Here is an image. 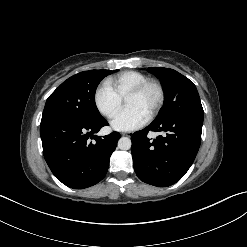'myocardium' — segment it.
<instances>
[{"instance_id": "obj_1", "label": "myocardium", "mask_w": 247, "mask_h": 247, "mask_svg": "<svg viewBox=\"0 0 247 247\" xmlns=\"http://www.w3.org/2000/svg\"><path fill=\"white\" fill-rule=\"evenodd\" d=\"M149 87H154L157 90V93H158L157 101H156L155 105L153 106L152 110L150 111V113L148 115V118L152 119L161 110L162 106L164 105L165 97H166L164 86L159 80L147 79L146 81L140 83L139 85L134 87L132 90H130L126 94L124 100H126L129 97L139 96L140 94H142Z\"/></svg>"}]
</instances>
